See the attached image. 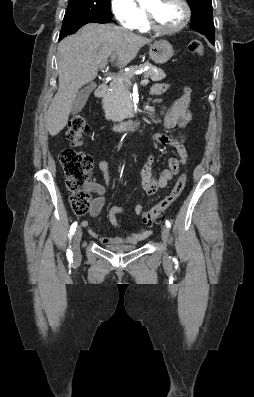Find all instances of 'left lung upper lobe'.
<instances>
[{
  "label": "left lung upper lobe",
  "instance_id": "5c2ea615",
  "mask_svg": "<svg viewBox=\"0 0 254 397\" xmlns=\"http://www.w3.org/2000/svg\"><path fill=\"white\" fill-rule=\"evenodd\" d=\"M191 12L190 26L207 33H215L211 0H187Z\"/></svg>",
  "mask_w": 254,
  "mask_h": 397
}]
</instances>
